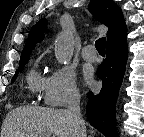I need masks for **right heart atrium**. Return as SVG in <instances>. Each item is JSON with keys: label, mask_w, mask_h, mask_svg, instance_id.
I'll return each instance as SVG.
<instances>
[{"label": "right heart atrium", "mask_w": 144, "mask_h": 137, "mask_svg": "<svg viewBox=\"0 0 144 137\" xmlns=\"http://www.w3.org/2000/svg\"><path fill=\"white\" fill-rule=\"evenodd\" d=\"M79 89L73 69L67 66L54 69L47 77L43 101L53 107L67 106L79 99Z\"/></svg>", "instance_id": "obj_1"}]
</instances>
